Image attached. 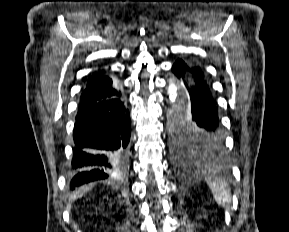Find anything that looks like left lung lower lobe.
I'll return each mask as SVG.
<instances>
[{"label": "left lung lower lobe", "instance_id": "obj_1", "mask_svg": "<svg viewBox=\"0 0 289 232\" xmlns=\"http://www.w3.org/2000/svg\"><path fill=\"white\" fill-rule=\"evenodd\" d=\"M171 70L185 88L189 100L188 112L182 115L194 123L215 150H221L224 147V134L216 104L201 68L178 59Z\"/></svg>", "mask_w": 289, "mask_h": 232}]
</instances>
